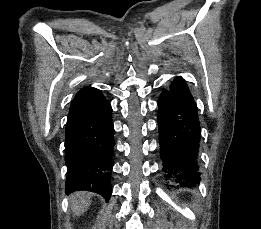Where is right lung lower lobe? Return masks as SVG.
I'll return each mask as SVG.
<instances>
[{
	"label": "right lung lower lobe",
	"mask_w": 261,
	"mask_h": 229,
	"mask_svg": "<svg viewBox=\"0 0 261 229\" xmlns=\"http://www.w3.org/2000/svg\"><path fill=\"white\" fill-rule=\"evenodd\" d=\"M112 108L101 91L81 89L71 102L65 130V192L89 191L111 197Z\"/></svg>",
	"instance_id": "right-lung-lower-lobe-1"
}]
</instances>
